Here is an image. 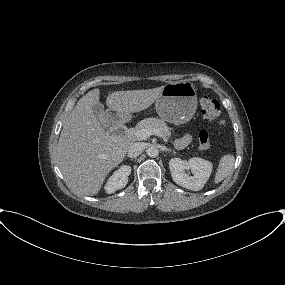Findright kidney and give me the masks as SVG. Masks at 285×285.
I'll return each mask as SVG.
<instances>
[{
    "label": "right kidney",
    "instance_id": "obj_1",
    "mask_svg": "<svg viewBox=\"0 0 285 285\" xmlns=\"http://www.w3.org/2000/svg\"><path fill=\"white\" fill-rule=\"evenodd\" d=\"M131 174V167L128 165L121 166L108 179L105 185V191L112 194L119 189H123L128 183V176Z\"/></svg>",
    "mask_w": 285,
    "mask_h": 285
}]
</instances>
